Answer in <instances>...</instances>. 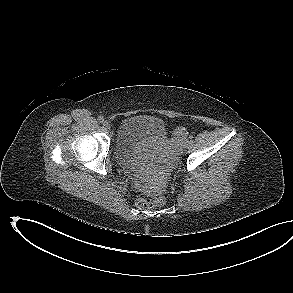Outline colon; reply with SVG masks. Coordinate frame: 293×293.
Returning a JSON list of instances; mask_svg holds the SVG:
<instances>
[{"mask_svg": "<svg viewBox=\"0 0 293 293\" xmlns=\"http://www.w3.org/2000/svg\"><path fill=\"white\" fill-rule=\"evenodd\" d=\"M181 129L177 131V134H181ZM165 199L163 197H157L155 199H146L143 197H140L137 199L136 204L140 209H151L156 208L164 205Z\"/></svg>", "mask_w": 293, "mask_h": 293, "instance_id": "5ec220e1", "label": "colon"}]
</instances>
